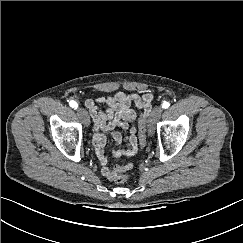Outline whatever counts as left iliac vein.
I'll use <instances>...</instances> for the list:
<instances>
[{"mask_svg": "<svg viewBox=\"0 0 243 243\" xmlns=\"http://www.w3.org/2000/svg\"><path fill=\"white\" fill-rule=\"evenodd\" d=\"M162 111H163V109L160 106H156L152 110V112H151V114H150V116L148 118V122H147L148 123V133H149V135H153L154 134L156 122L160 118V116L162 114Z\"/></svg>", "mask_w": 243, "mask_h": 243, "instance_id": "1", "label": "left iliac vein"}]
</instances>
